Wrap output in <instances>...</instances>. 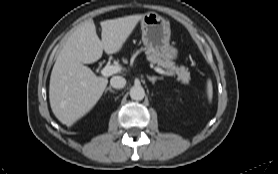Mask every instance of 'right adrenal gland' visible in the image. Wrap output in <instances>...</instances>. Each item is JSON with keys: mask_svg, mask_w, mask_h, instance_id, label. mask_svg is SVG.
Instances as JSON below:
<instances>
[{"mask_svg": "<svg viewBox=\"0 0 278 174\" xmlns=\"http://www.w3.org/2000/svg\"><path fill=\"white\" fill-rule=\"evenodd\" d=\"M110 91L112 93H114V91L112 90L111 86H109L108 88H106L105 92Z\"/></svg>", "mask_w": 278, "mask_h": 174, "instance_id": "1", "label": "right adrenal gland"}]
</instances>
